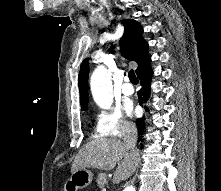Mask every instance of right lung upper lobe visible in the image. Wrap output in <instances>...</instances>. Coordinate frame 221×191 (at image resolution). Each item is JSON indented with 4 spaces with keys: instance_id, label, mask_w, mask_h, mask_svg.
<instances>
[{
    "instance_id": "cb5924a9",
    "label": "right lung upper lobe",
    "mask_w": 221,
    "mask_h": 191,
    "mask_svg": "<svg viewBox=\"0 0 221 191\" xmlns=\"http://www.w3.org/2000/svg\"><path fill=\"white\" fill-rule=\"evenodd\" d=\"M124 34L120 39V48L122 55L138 63L136 73L148 66L151 62L148 54V44L142 38L143 29L140 24L132 19L123 20ZM88 74L89 64L85 59L79 72V91L80 103L83 110H87L88 105Z\"/></svg>"
}]
</instances>
